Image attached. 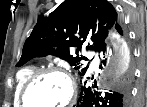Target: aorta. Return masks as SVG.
<instances>
[{
	"label": "aorta",
	"mask_w": 147,
	"mask_h": 107,
	"mask_svg": "<svg viewBox=\"0 0 147 107\" xmlns=\"http://www.w3.org/2000/svg\"><path fill=\"white\" fill-rule=\"evenodd\" d=\"M107 68L98 84L100 89H114L130 75L131 53L122 38L114 34Z\"/></svg>",
	"instance_id": "1"
}]
</instances>
